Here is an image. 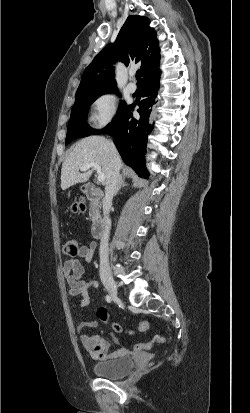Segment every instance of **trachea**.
Wrapping results in <instances>:
<instances>
[{"mask_svg":"<svg viewBox=\"0 0 250 413\" xmlns=\"http://www.w3.org/2000/svg\"><path fill=\"white\" fill-rule=\"evenodd\" d=\"M140 78H141V71L138 70V71L136 72V80H137L138 83H140Z\"/></svg>","mask_w":250,"mask_h":413,"instance_id":"obj_1","label":"trachea"}]
</instances>
